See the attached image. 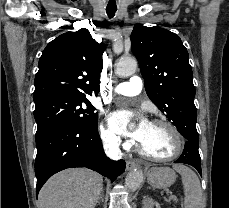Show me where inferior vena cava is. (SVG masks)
Here are the masks:
<instances>
[{"label":"inferior vena cava","mask_w":229,"mask_h":208,"mask_svg":"<svg viewBox=\"0 0 229 208\" xmlns=\"http://www.w3.org/2000/svg\"><path fill=\"white\" fill-rule=\"evenodd\" d=\"M106 154L107 156H109V158H112V160H119V154L117 152V154H114V152H112V150H106Z\"/></svg>","instance_id":"inferior-vena-cava-1"}]
</instances>
